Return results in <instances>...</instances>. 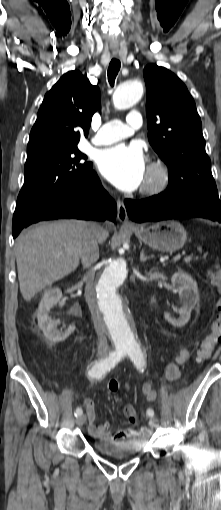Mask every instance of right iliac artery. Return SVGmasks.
<instances>
[{
    "instance_id": "right-iliac-artery-1",
    "label": "right iliac artery",
    "mask_w": 221,
    "mask_h": 510,
    "mask_svg": "<svg viewBox=\"0 0 221 510\" xmlns=\"http://www.w3.org/2000/svg\"><path fill=\"white\" fill-rule=\"evenodd\" d=\"M124 353L122 351H113L105 359L96 360L91 364L88 376L91 378H101L109 372L122 359ZM83 413L82 408H77L74 415L80 416Z\"/></svg>"
}]
</instances>
